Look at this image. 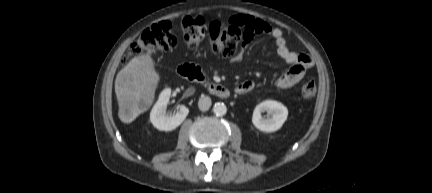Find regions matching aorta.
I'll return each instance as SVG.
<instances>
[{
    "instance_id": "obj_1",
    "label": "aorta",
    "mask_w": 432,
    "mask_h": 193,
    "mask_svg": "<svg viewBox=\"0 0 432 193\" xmlns=\"http://www.w3.org/2000/svg\"><path fill=\"white\" fill-rule=\"evenodd\" d=\"M213 112L217 116H223L227 112V107L224 103H221V102L215 103V105L213 107Z\"/></svg>"
}]
</instances>
